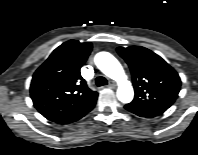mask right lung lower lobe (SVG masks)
Segmentation results:
<instances>
[{
    "instance_id": "98d812e1",
    "label": "right lung lower lobe",
    "mask_w": 198,
    "mask_h": 155,
    "mask_svg": "<svg viewBox=\"0 0 198 155\" xmlns=\"http://www.w3.org/2000/svg\"><path fill=\"white\" fill-rule=\"evenodd\" d=\"M96 100H97V97L91 99L89 102H87L86 104L81 106L76 111H74L64 117H61L59 119H55L52 121L59 123V124H68V123L75 122V121L79 120L80 118H82L83 116H85L88 112H90L94 108V106L96 104Z\"/></svg>"
}]
</instances>
